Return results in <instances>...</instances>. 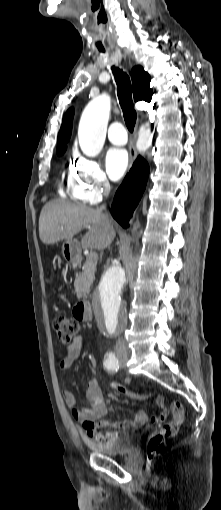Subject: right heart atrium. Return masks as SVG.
Instances as JSON below:
<instances>
[{
  "label": "right heart atrium",
  "mask_w": 221,
  "mask_h": 510,
  "mask_svg": "<svg viewBox=\"0 0 221 510\" xmlns=\"http://www.w3.org/2000/svg\"><path fill=\"white\" fill-rule=\"evenodd\" d=\"M74 197L87 204L98 203L110 191L111 185L99 161L77 157L69 176Z\"/></svg>",
  "instance_id": "d8ad5b80"
}]
</instances>
